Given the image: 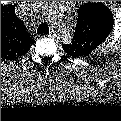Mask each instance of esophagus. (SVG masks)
<instances>
[{"label":"esophagus","mask_w":121,"mask_h":121,"mask_svg":"<svg viewBox=\"0 0 121 121\" xmlns=\"http://www.w3.org/2000/svg\"><path fill=\"white\" fill-rule=\"evenodd\" d=\"M50 36H53L54 35V31L51 30L50 33H49Z\"/></svg>","instance_id":"obj_1"}]
</instances>
